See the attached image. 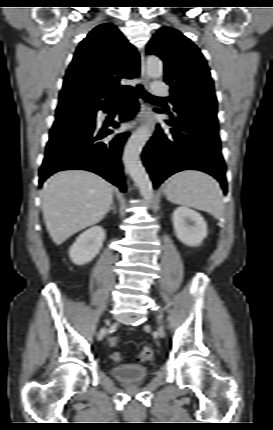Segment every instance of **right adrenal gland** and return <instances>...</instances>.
Segmentation results:
<instances>
[{
  "label": "right adrenal gland",
  "mask_w": 273,
  "mask_h": 430,
  "mask_svg": "<svg viewBox=\"0 0 273 430\" xmlns=\"http://www.w3.org/2000/svg\"><path fill=\"white\" fill-rule=\"evenodd\" d=\"M110 210H113L114 212H116V207H115L114 201L112 202V204H111V206L107 212H109Z\"/></svg>",
  "instance_id": "1"
}]
</instances>
